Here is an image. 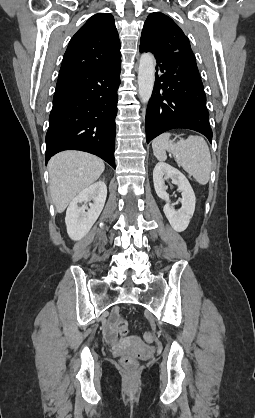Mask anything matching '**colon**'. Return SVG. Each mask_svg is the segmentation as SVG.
<instances>
[{
    "instance_id": "5ec220e1",
    "label": "colon",
    "mask_w": 255,
    "mask_h": 418,
    "mask_svg": "<svg viewBox=\"0 0 255 418\" xmlns=\"http://www.w3.org/2000/svg\"><path fill=\"white\" fill-rule=\"evenodd\" d=\"M114 325H115L117 331L121 335H125L127 333V331H128V323H127V321L123 317H121L118 314H115L114 315ZM144 339L147 342L153 341V339H154V333H152V332H146L144 334ZM120 363H121V365L125 369L130 370V371L135 370L137 368V366H138L137 359L134 358V357H132V356H129V355H126V356L121 357Z\"/></svg>"
}]
</instances>
